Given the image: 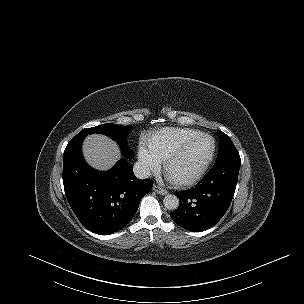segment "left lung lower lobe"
I'll return each instance as SVG.
<instances>
[{
    "mask_svg": "<svg viewBox=\"0 0 304 304\" xmlns=\"http://www.w3.org/2000/svg\"><path fill=\"white\" fill-rule=\"evenodd\" d=\"M240 165V158L216 164L195 187L175 193L180 204L170 213L173 221L190 231H204L214 226L232 201Z\"/></svg>",
    "mask_w": 304,
    "mask_h": 304,
    "instance_id": "0a47b994",
    "label": "left lung lower lobe"
}]
</instances>
